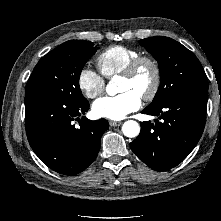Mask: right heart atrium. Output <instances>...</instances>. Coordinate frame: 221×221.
Listing matches in <instances>:
<instances>
[{"label":"right heart atrium","instance_id":"1","mask_svg":"<svg viewBox=\"0 0 221 221\" xmlns=\"http://www.w3.org/2000/svg\"><path fill=\"white\" fill-rule=\"evenodd\" d=\"M77 85L85 97L95 99L104 92L106 81L102 74L86 66L78 74Z\"/></svg>","mask_w":221,"mask_h":221}]
</instances>
